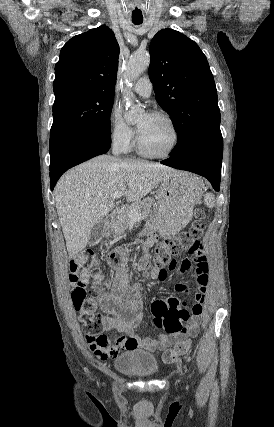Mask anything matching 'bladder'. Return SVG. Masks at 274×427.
<instances>
[{
	"label": "bladder",
	"mask_w": 274,
	"mask_h": 427,
	"mask_svg": "<svg viewBox=\"0 0 274 427\" xmlns=\"http://www.w3.org/2000/svg\"><path fill=\"white\" fill-rule=\"evenodd\" d=\"M114 367L118 374L137 378H152L160 371L157 357L139 349H128L119 354L115 359Z\"/></svg>",
	"instance_id": "1"
}]
</instances>
